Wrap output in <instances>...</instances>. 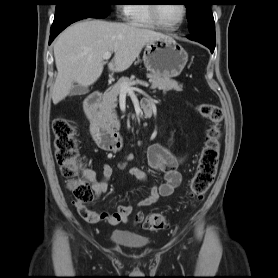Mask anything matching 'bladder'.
I'll return each instance as SVG.
<instances>
[{
	"label": "bladder",
	"instance_id": "obj_1",
	"mask_svg": "<svg viewBox=\"0 0 278 278\" xmlns=\"http://www.w3.org/2000/svg\"><path fill=\"white\" fill-rule=\"evenodd\" d=\"M110 239L113 244L128 249H140L149 243V239L147 237L122 230L112 232Z\"/></svg>",
	"mask_w": 278,
	"mask_h": 278
}]
</instances>
